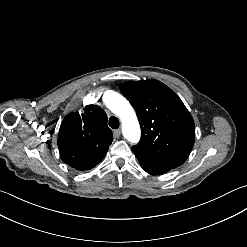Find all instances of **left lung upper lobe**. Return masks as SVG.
<instances>
[{"mask_svg":"<svg viewBox=\"0 0 247 247\" xmlns=\"http://www.w3.org/2000/svg\"><path fill=\"white\" fill-rule=\"evenodd\" d=\"M120 90L141 126V140L132 149L172 168L182 165L194 145L195 125L177 94L157 80L127 82Z\"/></svg>","mask_w":247,"mask_h":247,"instance_id":"obj_1","label":"left lung upper lobe"}]
</instances>
